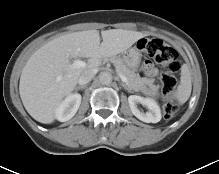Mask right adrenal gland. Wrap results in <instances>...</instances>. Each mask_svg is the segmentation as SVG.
<instances>
[{
  "label": "right adrenal gland",
  "mask_w": 219,
  "mask_h": 174,
  "mask_svg": "<svg viewBox=\"0 0 219 174\" xmlns=\"http://www.w3.org/2000/svg\"><path fill=\"white\" fill-rule=\"evenodd\" d=\"M86 88V86H77L76 88H75V90L76 91H78V90H82V89H85Z\"/></svg>",
  "instance_id": "right-adrenal-gland-1"
}]
</instances>
